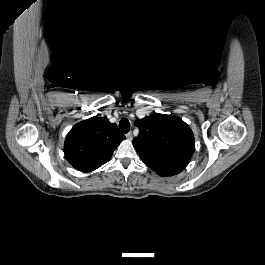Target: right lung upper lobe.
Listing matches in <instances>:
<instances>
[{
	"label": "right lung upper lobe",
	"instance_id": "1",
	"mask_svg": "<svg viewBox=\"0 0 265 265\" xmlns=\"http://www.w3.org/2000/svg\"><path fill=\"white\" fill-rule=\"evenodd\" d=\"M125 138L106 117H91L77 123L67 134L65 158L75 169L90 172L108 162Z\"/></svg>",
	"mask_w": 265,
	"mask_h": 265
}]
</instances>
